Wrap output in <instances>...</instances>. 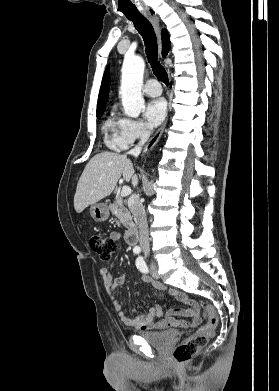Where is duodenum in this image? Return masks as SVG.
Here are the masks:
<instances>
[{
	"instance_id": "410a0bca",
	"label": "duodenum",
	"mask_w": 279,
	"mask_h": 391,
	"mask_svg": "<svg viewBox=\"0 0 279 391\" xmlns=\"http://www.w3.org/2000/svg\"><path fill=\"white\" fill-rule=\"evenodd\" d=\"M125 239L127 241L128 244L130 245H135L139 242V230L136 226L134 227H131L126 235H125Z\"/></svg>"
}]
</instances>
